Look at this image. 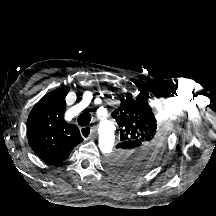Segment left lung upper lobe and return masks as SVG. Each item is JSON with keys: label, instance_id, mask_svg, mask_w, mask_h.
<instances>
[{"label": "left lung upper lobe", "instance_id": "obj_1", "mask_svg": "<svg viewBox=\"0 0 216 216\" xmlns=\"http://www.w3.org/2000/svg\"><path fill=\"white\" fill-rule=\"evenodd\" d=\"M147 96L129 95L121 100L112 117L119 127L117 151L107 159L106 167L115 176L132 179L156 166L164 156L168 142L163 115L150 107Z\"/></svg>", "mask_w": 216, "mask_h": 216}]
</instances>
